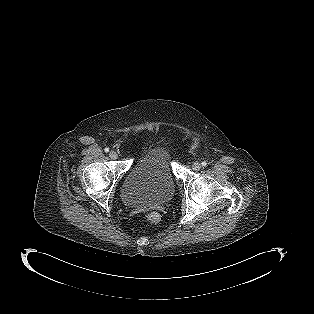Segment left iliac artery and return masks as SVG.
I'll use <instances>...</instances> for the list:
<instances>
[{
    "instance_id": "obj_1",
    "label": "left iliac artery",
    "mask_w": 314,
    "mask_h": 314,
    "mask_svg": "<svg viewBox=\"0 0 314 314\" xmlns=\"http://www.w3.org/2000/svg\"><path fill=\"white\" fill-rule=\"evenodd\" d=\"M201 164H202V166H204V167L207 165L206 161H203Z\"/></svg>"
}]
</instances>
